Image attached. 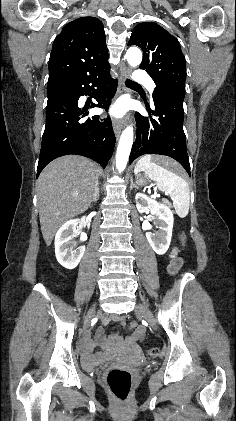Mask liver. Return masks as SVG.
I'll return each instance as SVG.
<instances>
[{"label":"liver","mask_w":236,"mask_h":421,"mask_svg":"<svg viewBox=\"0 0 236 421\" xmlns=\"http://www.w3.org/2000/svg\"><path fill=\"white\" fill-rule=\"evenodd\" d=\"M154 160L168 162L164 156H154ZM97 184L98 166L85 156L66 154L45 166L36 182V190L41 231L47 247L59 227L87 211Z\"/></svg>","instance_id":"6515ba94"}]
</instances>
